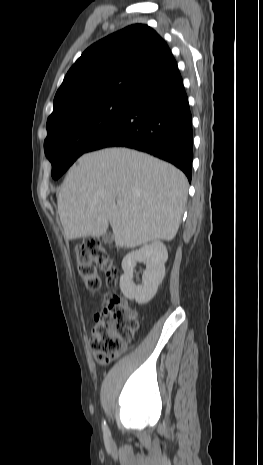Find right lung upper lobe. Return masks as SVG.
Wrapping results in <instances>:
<instances>
[{
	"label": "right lung upper lobe",
	"instance_id": "1",
	"mask_svg": "<svg viewBox=\"0 0 263 465\" xmlns=\"http://www.w3.org/2000/svg\"><path fill=\"white\" fill-rule=\"evenodd\" d=\"M177 69L166 42L151 27L134 24L94 43L66 74L47 121L76 106L133 97Z\"/></svg>",
	"mask_w": 263,
	"mask_h": 465
}]
</instances>
